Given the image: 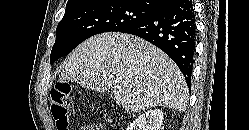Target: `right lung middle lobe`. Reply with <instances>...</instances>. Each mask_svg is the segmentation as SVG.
<instances>
[{"instance_id":"dd1d6c3e","label":"right lung middle lobe","mask_w":249,"mask_h":130,"mask_svg":"<svg viewBox=\"0 0 249 130\" xmlns=\"http://www.w3.org/2000/svg\"><path fill=\"white\" fill-rule=\"evenodd\" d=\"M154 11L130 0H106L65 11L56 28L50 63L67 55L89 37L120 32L149 18Z\"/></svg>"}]
</instances>
